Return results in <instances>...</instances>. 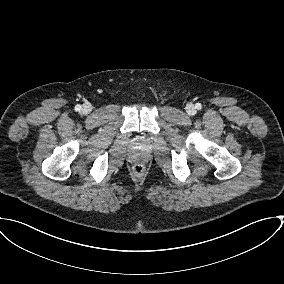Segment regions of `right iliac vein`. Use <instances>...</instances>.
Listing matches in <instances>:
<instances>
[{
	"label": "right iliac vein",
	"mask_w": 284,
	"mask_h": 284,
	"mask_svg": "<svg viewBox=\"0 0 284 284\" xmlns=\"http://www.w3.org/2000/svg\"><path fill=\"white\" fill-rule=\"evenodd\" d=\"M91 110H92V106L90 105V104H85L84 106H83V108H82V111L84 112V113H90L91 112Z\"/></svg>",
	"instance_id": "63e3f726"
}]
</instances>
